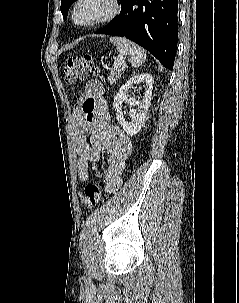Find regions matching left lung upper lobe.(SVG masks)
Wrapping results in <instances>:
<instances>
[{
  "instance_id": "5c2ea615",
  "label": "left lung upper lobe",
  "mask_w": 239,
  "mask_h": 303,
  "mask_svg": "<svg viewBox=\"0 0 239 303\" xmlns=\"http://www.w3.org/2000/svg\"><path fill=\"white\" fill-rule=\"evenodd\" d=\"M74 1L75 0H61V12L65 20L67 19L68 10ZM123 1L124 0H120L121 4L123 3Z\"/></svg>"
}]
</instances>
